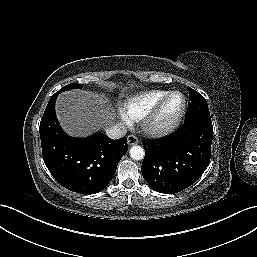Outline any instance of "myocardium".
Returning <instances> with one entry per match:
<instances>
[{"mask_svg": "<svg viewBox=\"0 0 257 257\" xmlns=\"http://www.w3.org/2000/svg\"><path fill=\"white\" fill-rule=\"evenodd\" d=\"M179 95L182 98V106L179 113L169 122L165 124L159 123V116L168 103V101L174 96ZM187 109V101L185 96L179 91L169 92L142 120L143 131L156 138L165 137L173 133L181 124Z\"/></svg>", "mask_w": 257, "mask_h": 257, "instance_id": "myocardium-1", "label": "myocardium"}]
</instances>
